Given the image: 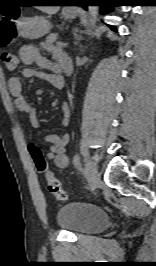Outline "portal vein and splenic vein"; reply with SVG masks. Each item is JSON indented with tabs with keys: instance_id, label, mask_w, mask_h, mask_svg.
<instances>
[{
	"instance_id": "portal-vein-and-splenic-vein-1",
	"label": "portal vein and splenic vein",
	"mask_w": 156,
	"mask_h": 266,
	"mask_svg": "<svg viewBox=\"0 0 156 266\" xmlns=\"http://www.w3.org/2000/svg\"><path fill=\"white\" fill-rule=\"evenodd\" d=\"M57 46L60 47V48H64V47L67 46V43L58 42V43H57Z\"/></svg>"
}]
</instances>
